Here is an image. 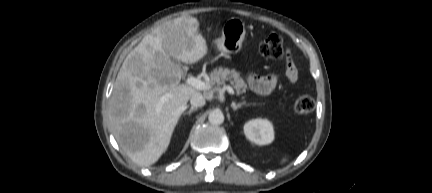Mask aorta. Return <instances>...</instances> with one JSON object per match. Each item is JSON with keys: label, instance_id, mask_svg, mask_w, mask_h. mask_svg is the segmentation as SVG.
I'll list each match as a JSON object with an SVG mask.
<instances>
[{"label": "aorta", "instance_id": "1", "mask_svg": "<svg viewBox=\"0 0 432 193\" xmlns=\"http://www.w3.org/2000/svg\"><path fill=\"white\" fill-rule=\"evenodd\" d=\"M208 120L212 125H220L224 122V115L221 110H213L209 113Z\"/></svg>", "mask_w": 432, "mask_h": 193}]
</instances>
